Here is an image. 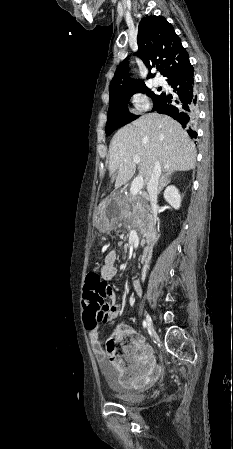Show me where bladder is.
<instances>
[{"label": "bladder", "instance_id": "obj_1", "mask_svg": "<svg viewBox=\"0 0 233 449\" xmlns=\"http://www.w3.org/2000/svg\"><path fill=\"white\" fill-rule=\"evenodd\" d=\"M109 387L111 390V395L119 400L122 404L125 405H133L140 401V395L126 389L125 387L121 386L120 384L116 382H112V380H109Z\"/></svg>", "mask_w": 233, "mask_h": 449}]
</instances>
